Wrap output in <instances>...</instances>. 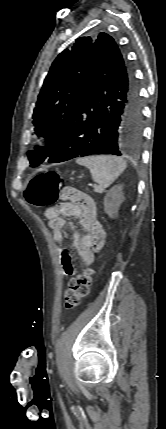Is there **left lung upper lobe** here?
I'll use <instances>...</instances> for the list:
<instances>
[{"mask_svg": "<svg viewBox=\"0 0 166 429\" xmlns=\"http://www.w3.org/2000/svg\"><path fill=\"white\" fill-rule=\"evenodd\" d=\"M97 37L76 39L52 63L33 113L34 130L48 138L44 148L29 151L31 167L49 158L61 142L89 77Z\"/></svg>", "mask_w": 166, "mask_h": 429, "instance_id": "left-lung-upper-lobe-1", "label": "left lung upper lobe"}]
</instances>
